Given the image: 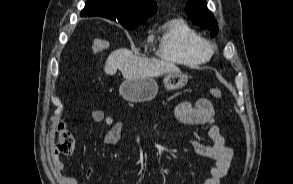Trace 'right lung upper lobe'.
Masks as SVG:
<instances>
[{
  "label": "right lung upper lobe",
  "mask_w": 293,
  "mask_h": 184,
  "mask_svg": "<svg viewBox=\"0 0 293 184\" xmlns=\"http://www.w3.org/2000/svg\"><path fill=\"white\" fill-rule=\"evenodd\" d=\"M156 11L155 0H87L80 15L100 16L126 24L145 22Z\"/></svg>",
  "instance_id": "right-lung-upper-lobe-1"
}]
</instances>
